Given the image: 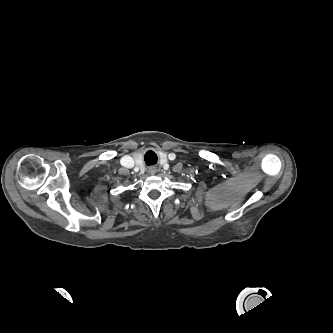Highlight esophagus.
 <instances>
[{
    "mask_svg": "<svg viewBox=\"0 0 333 333\" xmlns=\"http://www.w3.org/2000/svg\"><path fill=\"white\" fill-rule=\"evenodd\" d=\"M155 172H156V168L155 167L150 168V173L151 174H154Z\"/></svg>",
    "mask_w": 333,
    "mask_h": 333,
    "instance_id": "obj_1",
    "label": "esophagus"
}]
</instances>
